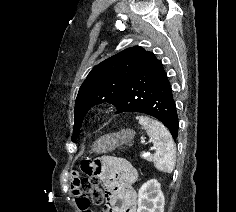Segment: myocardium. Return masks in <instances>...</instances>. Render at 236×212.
I'll return each mask as SVG.
<instances>
[{
    "label": "myocardium",
    "mask_w": 236,
    "mask_h": 212,
    "mask_svg": "<svg viewBox=\"0 0 236 212\" xmlns=\"http://www.w3.org/2000/svg\"><path fill=\"white\" fill-rule=\"evenodd\" d=\"M104 117V113L102 110L100 109H97V110H94L90 116H89V121L92 123V124H97V123H100L102 121Z\"/></svg>",
    "instance_id": "f54148a6"
}]
</instances>
